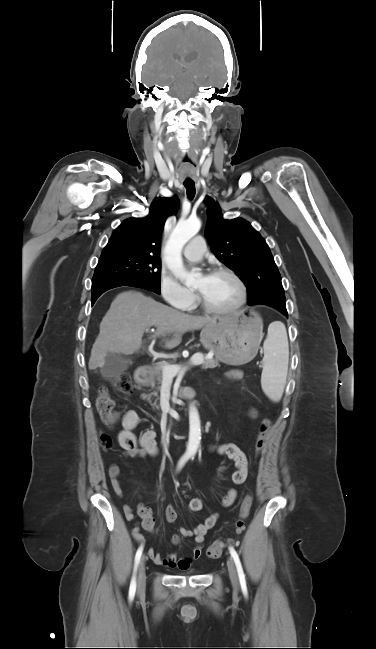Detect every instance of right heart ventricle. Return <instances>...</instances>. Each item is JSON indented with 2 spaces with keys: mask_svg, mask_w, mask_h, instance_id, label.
<instances>
[{
  "mask_svg": "<svg viewBox=\"0 0 376 649\" xmlns=\"http://www.w3.org/2000/svg\"><path fill=\"white\" fill-rule=\"evenodd\" d=\"M194 308V303L188 308V309H193ZM54 636V635H52Z\"/></svg>",
  "mask_w": 376,
  "mask_h": 649,
  "instance_id": "right-heart-ventricle-1",
  "label": "right heart ventricle"
}]
</instances>
